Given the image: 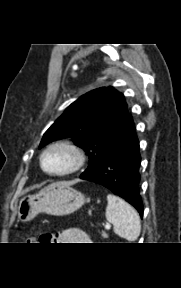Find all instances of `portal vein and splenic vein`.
Here are the masks:
<instances>
[{
    "instance_id": "1",
    "label": "portal vein and splenic vein",
    "mask_w": 181,
    "mask_h": 288,
    "mask_svg": "<svg viewBox=\"0 0 181 288\" xmlns=\"http://www.w3.org/2000/svg\"><path fill=\"white\" fill-rule=\"evenodd\" d=\"M110 228H111V225L109 223H106L105 229H110Z\"/></svg>"
}]
</instances>
